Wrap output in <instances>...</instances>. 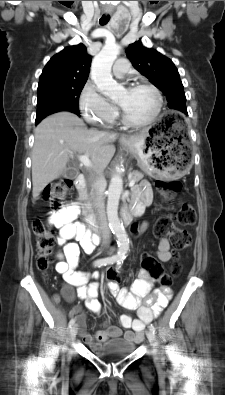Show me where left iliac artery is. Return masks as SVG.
Here are the masks:
<instances>
[{"mask_svg":"<svg viewBox=\"0 0 225 395\" xmlns=\"http://www.w3.org/2000/svg\"><path fill=\"white\" fill-rule=\"evenodd\" d=\"M122 263H123V260H122V259H118V260H117L118 269L121 267V264H122ZM149 329H150L153 333H155V331H156V328L154 327L153 324H150V325H149Z\"/></svg>","mask_w":225,"mask_h":395,"instance_id":"obj_1","label":"left iliac artery"}]
</instances>
